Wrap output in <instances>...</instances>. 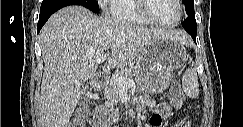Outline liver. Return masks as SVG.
I'll list each match as a JSON object with an SVG mask.
<instances>
[{"label":"liver","instance_id":"liver-1","mask_svg":"<svg viewBox=\"0 0 243 127\" xmlns=\"http://www.w3.org/2000/svg\"><path fill=\"white\" fill-rule=\"evenodd\" d=\"M162 37L189 42L183 31L134 26L95 16L82 6H67L53 14L39 35L45 64L40 95L44 127H68L83 83L98 68V56L106 54L108 67L122 69L153 39Z\"/></svg>","mask_w":243,"mask_h":127}]
</instances>
